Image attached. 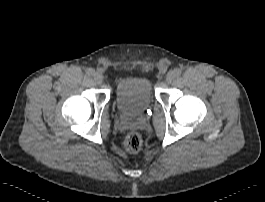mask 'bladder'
Listing matches in <instances>:
<instances>
[{"instance_id":"bladder-1","label":"bladder","mask_w":265,"mask_h":202,"mask_svg":"<svg viewBox=\"0 0 265 202\" xmlns=\"http://www.w3.org/2000/svg\"><path fill=\"white\" fill-rule=\"evenodd\" d=\"M114 97L117 107L126 115L143 112L155 100L152 83L146 77H130L119 81Z\"/></svg>"}]
</instances>
